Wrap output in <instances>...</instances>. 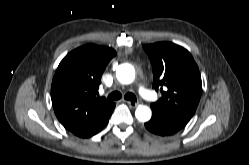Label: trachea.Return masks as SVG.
Instances as JSON below:
<instances>
[{
  "label": "trachea",
  "mask_w": 249,
  "mask_h": 165,
  "mask_svg": "<svg viewBox=\"0 0 249 165\" xmlns=\"http://www.w3.org/2000/svg\"><path fill=\"white\" fill-rule=\"evenodd\" d=\"M122 97L121 93L118 91L112 92L108 95L109 100H119ZM124 98L129 101L135 102L137 100L136 96L133 93H126Z\"/></svg>",
  "instance_id": "3493384b"
}]
</instances>
